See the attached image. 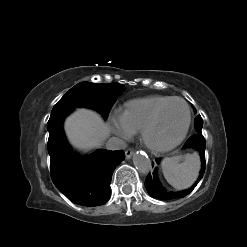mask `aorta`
<instances>
[{"instance_id":"1","label":"aorta","mask_w":247,"mask_h":247,"mask_svg":"<svg viewBox=\"0 0 247 247\" xmlns=\"http://www.w3.org/2000/svg\"><path fill=\"white\" fill-rule=\"evenodd\" d=\"M133 163L136 169L142 173H148L152 168V163L146 154L136 153L133 156Z\"/></svg>"}]
</instances>
